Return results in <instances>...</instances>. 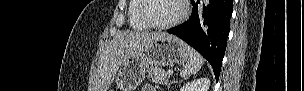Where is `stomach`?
Returning <instances> with one entry per match:
<instances>
[{
    "label": "stomach",
    "instance_id": "obj_1",
    "mask_svg": "<svg viewBox=\"0 0 304 91\" xmlns=\"http://www.w3.org/2000/svg\"><path fill=\"white\" fill-rule=\"evenodd\" d=\"M188 59L189 46L176 36L155 38L144 50L122 62L116 78L117 87L121 91H135L145 76L147 66L184 64Z\"/></svg>",
    "mask_w": 304,
    "mask_h": 91
}]
</instances>
